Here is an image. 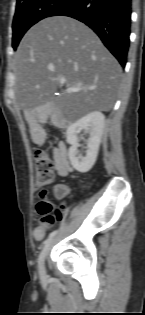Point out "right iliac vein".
I'll return each instance as SVG.
<instances>
[{
	"label": "right iliac vein",
	"mask_w": 145,
	"mask_h": 315,
	"mask_svg": "<svg viewBox=\"0 0 145 315\" xmlns=\"http://www.w3.org/2000/svg\"><path fill=\"white\" fill-rule=\"evenodd\" d=\"M51 244H52V239H49L44 245L38 258V269H39V274L41 277L45 276V259L51 247Z\"/></svg>",
	"instance_id": "right-iliac-vein-1"
}]
</instances>
